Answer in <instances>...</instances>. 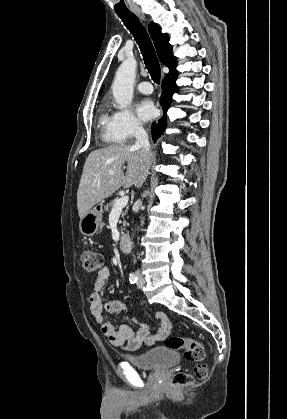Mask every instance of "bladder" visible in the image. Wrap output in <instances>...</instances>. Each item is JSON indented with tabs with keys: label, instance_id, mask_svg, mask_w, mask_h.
<instances>
[{
	"label": "bladder",
	"instance_id": "bladder-1",
	"mask_svg": "<svg viewBox=\"0 0 287 419\" xmlns=\"http://www.w3.org/2000/svg\"><path fill=\"white\" fill-rule=\"evenodd\" d=\"M126 360L140 369L165 370L179 362V357L168 347H154L142 354L129 355Z\"/></svg>",
	"mask_w": 287,
	"mask_h": 419
}]
</instances>
